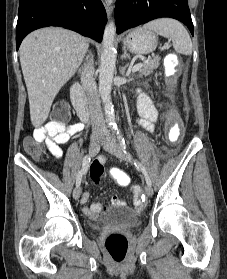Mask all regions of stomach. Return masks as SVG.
Instances as JSON below:
<instances>
[{
    "label": "stomach",
    "mask_w": 227,
    "mask_h": 279,
    "mask_svg": "<svg viewBox=\"0 0 227 279\" xmlns=\"http://www.w3.org/2000/svg\"><path fill=\"white\" fill-rule=\"evenodd\" d=\"M123 44L131 53L145 55L156 49L157 39L153 32L138 28L123 39Z\"/></svg>",
    "instance_id": "stomach-1"
}]
</instances>
